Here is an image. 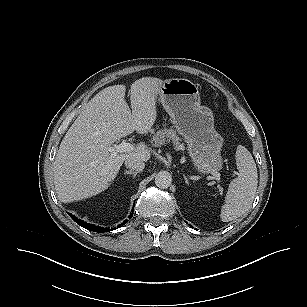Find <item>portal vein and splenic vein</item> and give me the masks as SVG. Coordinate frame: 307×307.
Listing matches in <instances>:
<instances>
[{
    "label": "portal vein and splenic vein",
    "instance_id": "1",
    "mask_svg": "<svg viewBox=\"0 0 307 307\" xmlns=\"http://www.w3.org/2000/svg\"><path fill=\"white\" fill-rule=\"evenodd\" d=\"M135 149L134 145L128 142H121L119 145L109 147V151L112 156H116L118 153H129Z\"/></svg>",
    "mask_w": 307,
    "mask_h": 307
}]
</instances>
